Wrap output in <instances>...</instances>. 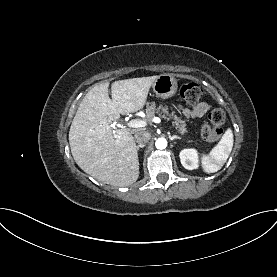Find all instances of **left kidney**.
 I'll return each mask as SVG.
<instances>
[{
	"label": "left kidney",
	"instance_id": "5707ae66",
	"mask_svg": "<svg viewBox=\"0 0 277 277\" xmlns=\"http://www.w3.org/2000/svg\"><path fill=\"white\" fill-rule=\"evenodd\" d=\"M179 156L184 168L188 170L198 168V154L195 149H184Z\"/></svg>",
	"mask_w": 277,
	"mask_h": 277
}]
</instances>
